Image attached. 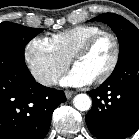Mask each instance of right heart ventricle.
Returning a JSON list of instances; mask_svg holds the SVG:
<instances>
[{"label":"right heart ventricle","instance_id":"obj_1","mask_svg":"<svg viewBox=\"0 0 139 139\" xmlns=\"http://www.w3.org/2000/svg\"><path fill=\"white\" fill-rule=\"evenodd\" d=\"M101 31L103 29L96 25H78L53 34L48 40L63 57L70 61L86 40Z\"/></svg>","mask_w":139,"mask_h":139}]
</instances>
